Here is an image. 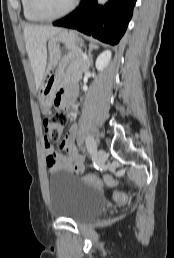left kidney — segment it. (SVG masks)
I'll use <instances>...</instances> for the list:
<instances>
[{"mask_svg": "<svg viewBox=\"0 0 174 258\" xmlns=\"http://www.w3.org/2000/svg\"><path fill=\"white\" fill-rule=\"evenodd\" d=\"M111 59V51L110 50H105L103 51L96 60V68L99 71L104 70L110 62Z\"/></svg>", "mask_w": 174, "mask_h": 258, "instance_id": "1", "label": "left kidney"}]
</instances>
